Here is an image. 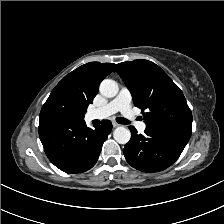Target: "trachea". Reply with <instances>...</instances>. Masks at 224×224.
<instances>
[{"label":"trachea","mask_w":224,"mask_h":224,"mask_svg":"<svg viewBox=\"0 0 224 224\" xmlns=\"http://www.w3.org/2000/svg\"><path fill=\"white\" fill-rule=\"evenodd\" d=\"M116 121H117V123H119V124H129V123H130L127 119L122 118V117H117V118H116Z\"/></svg>","instance_id":"trachea-1"}]
</instances>
